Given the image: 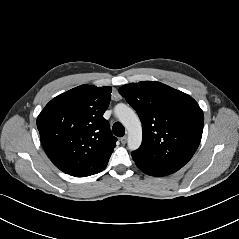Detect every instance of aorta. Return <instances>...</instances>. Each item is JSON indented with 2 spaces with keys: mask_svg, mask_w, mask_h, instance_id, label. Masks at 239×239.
<instances>
[{
  "mask_svg": "<svg viewBox=\"0 0 239 239\" xmlns=\"http://www.w3.org/2000/svg\"><path fill=\"white\" fill-rule=\"evenodd\" d=\"M115 115L128 131V148L136 150L142 141L141 122L136 113L125 104H117L114 109Z\"/></svg>",
  "mask_w": 239,
  "mask_h": 239,
  "instance_id": "1",
  "label": "aorta"
}]
</instances>
